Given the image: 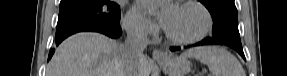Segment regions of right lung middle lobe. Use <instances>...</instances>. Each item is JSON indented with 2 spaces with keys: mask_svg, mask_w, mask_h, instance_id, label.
<instances>
[{
  "mask_svg": "<svg viewBox=\"0 0 287 76\" xmlns=\"http://www.w3.org/2000/svg\"><path fill=\"white\" fill-rule=\"evenodd\" d=\"M120 6L109 0H61L56 35L91 25H118Z\"/></svg>",
  "mask_w": 287,
  "mask_h": 76,
  "instance_id": "right-lung-middle-lobe-1",
  "label": "right lung middle lobe"
}]
</instances>
